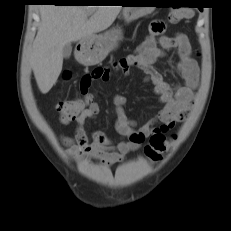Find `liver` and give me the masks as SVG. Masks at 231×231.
<instances>
[{
	"label": "liver",
	"mask_w": 231,
	"mask_h": 231,
	"mask_svg": "<svg viewBox=\"0 0 231 231\" xmlns=\"http://www.w3.org/2000/svg\"><path fill=\"white\" fill-rule=\"evenodd\" d=\"M121 8L84 5L40 7L41 24L33 43L31 65L43 94L50 91L61 73L63 47L110 27Z\"/></svg>",
	"instance_id": "6515ba94"
}]
</instances>
